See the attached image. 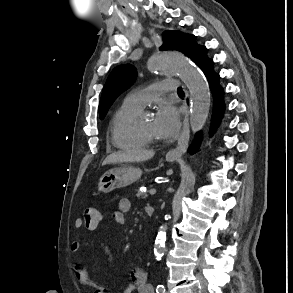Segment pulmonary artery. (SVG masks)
Instances as JSON below:
<instances>
[{"mask_svg":"<svg viewBox=\"0 0 293 293\" xmlns=\"http://www.w3.org/2000/svg\"><path fill=\"white\" fill-rule=\"evenodd\" d=\"M178 86L179 81L176 79L155 82L145 89H138L130 92L125 97L123 104L142 110L153 98L164 93L176 91Z\"/></svg>","mask_w":293,"mask_h":293,"instance_id":"obj_1","label":"pulmonary artery"}]
</instances>
